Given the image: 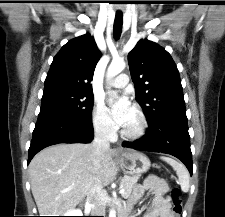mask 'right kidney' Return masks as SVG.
<instances>
[{
	"label": "right kidney",
	"instance_id": "obj_1",
	"mask_svg": "<svg viewBox=\"0 0 225 217\" xmlns=\"http://www.w3.org/2000/svg\"><path fill=\"white\" fill-rule=\"evenodd\" d=\"M67 213L68 214H64V216H82L80 210H73Z\"/></svg>",
	"mask_w": 225,
	"mask_h": 217
}]
</instances>
